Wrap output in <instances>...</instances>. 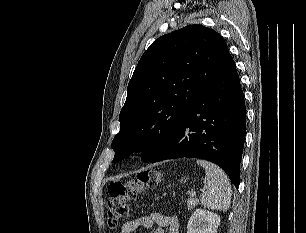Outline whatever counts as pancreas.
Listing matches in <instances>:
<instances>
[{"label": "pancreas", "instance_id": "1", "mask_svg": "<svg viewBox=\"0 0 306 233\" xmlns=\"http://www.w3.org/2000/svg\"><path fill=\"white\" fill-rule=\"evenodd\" d=\"M198 204V200L197 199H195V198H190V199H188V201H187V208L189 209V210H193V208L195 207V205H197Z\"/></svg>", "mask_w": 306, "mask_h": 233}]
</instances>
